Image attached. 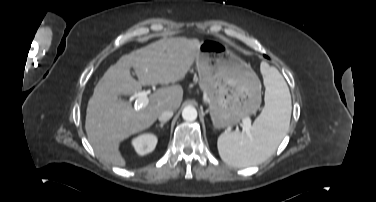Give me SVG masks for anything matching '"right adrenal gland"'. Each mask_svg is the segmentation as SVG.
<instances>
[{"label":"right adrenal gland","instance_id":"2a0ac1e0","mask_svg":"<svg viewBox=\"0 0 376 202\" xmlns=\"http://www.w3.org/2000/svg\"><path fill=\"white\" fill-rule=\"evenodd\" d=\"M165 123H166V122H162V123H160L159 126H160L161 128H163V126H164Z\"/></svg>","mask_w":376,"mask_h":202}]
</instances>
